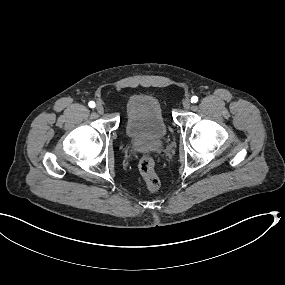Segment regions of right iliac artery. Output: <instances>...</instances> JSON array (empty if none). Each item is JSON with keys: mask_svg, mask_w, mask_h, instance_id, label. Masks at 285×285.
<instances>
[{"mask_svg": "<svg viewBox=\"0 0 285 285\" xmlns=\"http://www.w3.org/2000/svg\"><path fill=\"white\" fill-rule=\"evenodd\" d=\"M88 105L91 108H94L96 106L94 101H90Z\"/></svg>", "mask_w": 285, "mask_h": 285, "instance_id": "1", "label": "right iliac artery"}]
</instances>
